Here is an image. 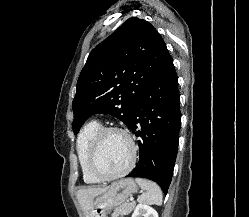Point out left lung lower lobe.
Masks as SVG:
<instances>
[{
    "mask_svg": "<svg viewBox=\"0 0 249 217\" xmlns=\"http://www.w3.org/2000/svg\"><path fill=\"white\" fill-rule=\"evenodd\" d=\"M178 80L168 57L138 100L129 128L139 137V162L127 177L156 182L167 194L175 165L181 113Z\"/></svg>",
    "mask_w": 249,
    "mask_h": 217,
    "instance_id": "1",
    "label": "left lung lower lobe"
}]
</instances>
